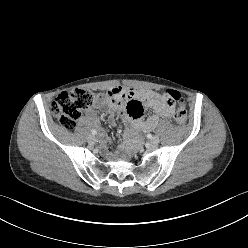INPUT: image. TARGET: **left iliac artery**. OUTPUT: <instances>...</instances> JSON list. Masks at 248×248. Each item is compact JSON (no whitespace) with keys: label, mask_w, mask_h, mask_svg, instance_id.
<instances>
[{"label":"left iliac artery","mask_w":248,"mask_h":248,"mask_svg":"<svg viewBox=\"0 0 248 248\" xmlns=\"http://www.w3.org/2000/svg\"><path fill=\"white\" fill-rule=\"evenodd\" d=\"M147 137H148V138H152V135H151V134H148Z\"/></svg>","instance_id":"1"}]
</instances>
